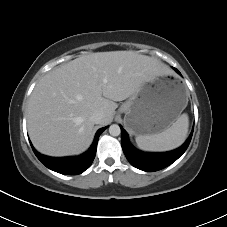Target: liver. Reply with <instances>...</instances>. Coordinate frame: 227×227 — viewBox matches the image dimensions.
<instances>
[{
    "label": "liver",
    "mask_w": 227,
    "mask_h": 227,
    "mask_svg": "<svg viewBox=\"0 0 227 227\" xmlns=\"http://www.w3.org/2000/svg\"><path fill=\"white\" fill-rule=\"evenodd\" d=\"M169 70L159 60L134 51L97 52L76 58L44 75L28 104L27 126L34 147L49 156L84 152L94 136L91 115L106 125L117 101Z\"/></svg>",
    "instance_id": "liver-1"
}]
</instances>
